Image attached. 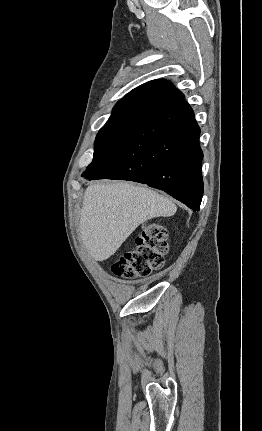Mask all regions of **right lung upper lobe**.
Masks as SVG:
<instances>
[{
    "label": "right lung upper lobe",
    "mask_w": 262,
    "mask_h": 431,
    "mask_svg": "<svg viewBox=\"0 0 262 431\" xmlns=\"http://www.w3.org/2000/svg\"><path fill=\"white\" fill-rule=\"evenodd\" d=\"M185 102L184 95L166 80L138 86L117 102L105 125H134L150 116Z\"/></svg>",
    "instance_id": "obj_1"
}]
</instances>
